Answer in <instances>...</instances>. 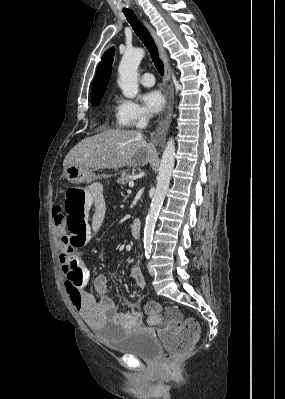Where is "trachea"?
Masks as SVG:
<instances>
[{
  "label": "trachea",
  "instance_id": "3493384b",
  "mask_svg": "<svg viewBox=\"0 0 285 399\" xmlns=\"http://www.w3.org/2000/svg\"><path fill=\"white\" fill-rule=\"evenodd\" d=\"M123 13L125 14L126 19L130 23L134 32L137 34V36L140 38L142 43L148 49L150 56L152 58V61L154 62L158 73L161 76H163L164 75V65H163L162 60L158 56L157 47H156L155 42H154L152 36L150 35L149 31L137 19L136 15L134 14V12L131 9H125V10H123Z\"/></svg>",
  "mask_w": 285,
  "mask_h": 399
}]
</instances>
